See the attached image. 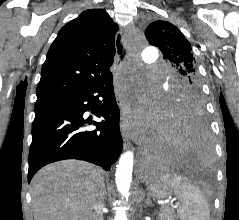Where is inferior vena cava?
<instances>
[{"instance_id": "inferior-vena-cava-1", "label": "inferior vena cava", "mask_w": 239, "mask_h": 220, "mask_svg": "<svg viewBox=\"0 0 239 220\" xmlns=\"http://www.w3.org/2000/svg\"><path fill=\"white\" fill-rule=\"evenodd\" d=\"M103 207V204L100 202L98 203V212H99V216H98V220H102V217H101V209Z\"/></svg>"}]
</instances>
